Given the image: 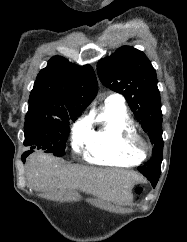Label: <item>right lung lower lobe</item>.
<instances>
[{
  "instance_id": "right-lung-lower-lobe-1",
  "label": "right lung lower lobe",
  "mask_w": 187,
  "mask_h": 242,
  "mask_svg": "<svg viewBox=\"0 0 187 242\" xmlns=\"http://www.w3.org/2000/svg\"><path fill=\"white\" fill-rule=\"evenodd\" d=\"M32 152H33L32 150L24 152V153L22 154V161L25 162L26 157H27L29 154H31Z\"/></svg>"
}]
</instances>
